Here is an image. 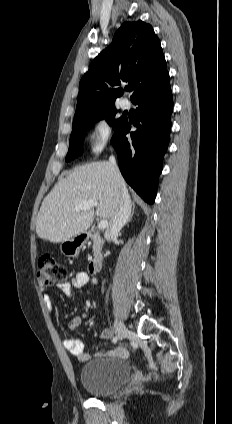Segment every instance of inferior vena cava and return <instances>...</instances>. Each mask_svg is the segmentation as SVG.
I'll list each match as a JSON object with an SVG mask.
<instances>
[{
  "instance_id": "obj_1",
  "label": "inferior vena cava",
  "mask_w": 232,
  "mask_h": 424,
  "mask_svg": "<svg viewBox=\"0 0 232 424\" xmlns=\"http://www.w3.org/2000/svg\"><path fill=\"white\" fill-rule=\"evenodd\" d=\"M109 165L115 177H120V172L116 164L115 157L109 158ZM131 214V199L128 193L123 192L117 195V208L110 219L109 226L105 231V239L109 241L112 236L117 235L122 227L127 223Z\"/></svg>"
}]
</instances>
